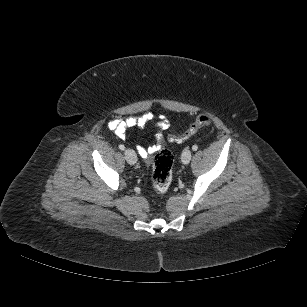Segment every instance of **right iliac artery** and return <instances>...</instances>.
<instances>
[{
    "label": "right iliac artery",
    "mask_w": 307,
    "mask_h": 307,
    "mask_svg": "<svg viewBox=\"0 0 307 307\" xmlns=\"http://www.w3.org/2000/svg\"><path fill=\"white\" fill-rule=\"evenodd\" d=\"M119 149H120V150H124V149H125V146L122 145V144H120V145H119Z\"/></svg>",
    "instance_id": "right-iliac-artery-1"
}]
</instances>
